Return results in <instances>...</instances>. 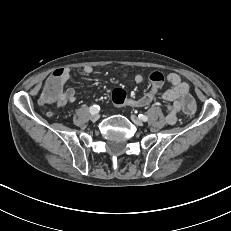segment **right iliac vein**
Segmentation results:
<instances>
[{
	"label": "right iliac vein",
	"mask_w": 231,
	"mask_h": 231,
	"mask_svg": "<svg viewBox=\"0 0 231 231\" xmlns=\"http://www.w3.org/2000/svg\"><path fill=\"white\" fill-rule=\"evenodd\" d=\"M99 118H100L99 114H91L90 115V120L93 122L97 121Z\"/></svg>",
	"instance_id": "obj_1"
}]
</instances>
